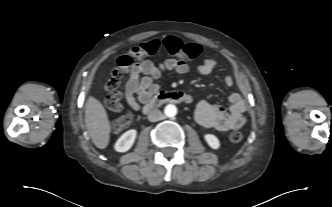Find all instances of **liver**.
Instances as JSON below:
<instances>
[{"mask_svg":"<svg viewBox=\"0 0 332 207\" xmlns=\"http://www.w3.org/2000/svg\"><path fill=\"white\" fill-rule=\"evenodd\" d=\"M85 124L94 145L99 149L106 148L111 132L110 122L104 106L93 96L86 102Z\"/></svg>","mask_w":332,"mask_h":207,"instance_id":"liver-1","label":"liver"}]
</instances>
